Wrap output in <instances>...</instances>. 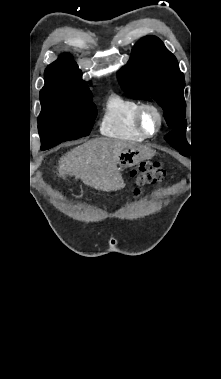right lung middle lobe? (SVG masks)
Instances as JSON below:
<instances>
[{
	"mask_svg": "<svg viewBox=\"0 0 221 379\" xmlns=\"http://www.w3.org/2000/svg\"><path fill=\"white\" fill-rule=\"evenodd\" d=\"M41 100L42 111L38 117L41 150L90 134L97 109L91 93L79 97H51Z\"/></svg>",
	"mask_w": 221,
	"mask_h": 379,
	"instance_id": "right-lung-middle-lobe-1",
	"label": "right lung middle lobe"
}]
</instances>
